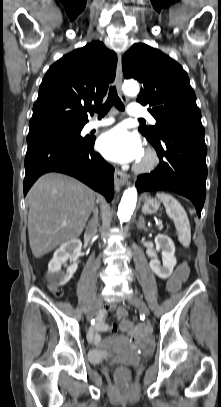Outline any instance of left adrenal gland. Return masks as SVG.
Wrapping results in <instances>:
<instances>
[{"mask_svg":"<svg viewBox=\"0 0 221 407\" xmlns=\"http://www.w3.org/2000/svg\"><path fill=\"white\" fill-rule=\"evenodd\" d=\"M137 228L146 230L145 220H144V217L142 215L139 217V221L137 223Z\"/></svg>","mask_w":221,"mask_h":407,"instance_id":"obj_1","label":"left adrenal gland"}]
</instances>
